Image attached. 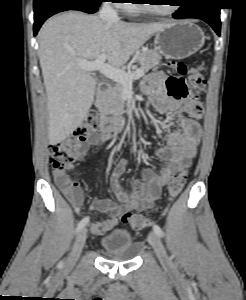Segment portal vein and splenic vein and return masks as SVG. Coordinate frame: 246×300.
Returning <instances> with one entry per match:
<instances>
[{"label":"portal vein and splenic vein","instance_id":"portal-vein-and-splenic-vein-1","mask_svg":"<svg viewBox=\"0 0 246 300\" xmlns=\"http://www.w3.org/2000/svg\"><path fill=\"white\" fill-rule=\"evenodd\" d=\"M105 60L106 55L103 54L92 62L80 61L79 66L87 72L99 71L107 78H110L117 83H121L124 86H131L134 80L139 79L143 76L142 69H137L133 72H125L119 68H115L111 65L106 64Z\"/></svg>","mask_w":246,"mask_h":300}]
</instances>
